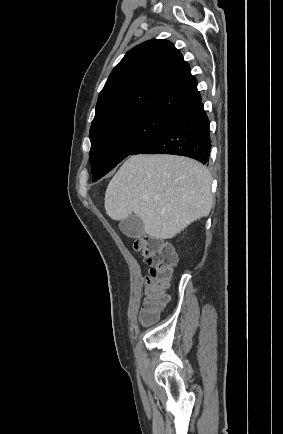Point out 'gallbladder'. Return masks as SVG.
I'll return each instance as SVG.
<instances>
[{
  "label": "gallbladder",
  "mask_w": 283,
  "mask_h": 434,
  "mask_svg": "<svg viewBox=\"0 0 283 434\" xmlns=\"http://www.w3.org/2000/svg\"><path fill=\"white\" fill-rule=\"evenodd\" d=\"M120 230L128 237L139 238L145 234L143 221L135 214L119 223Z\"/></svg>",
  "instance_id": "gallbladder-1"
}]
</instances>
